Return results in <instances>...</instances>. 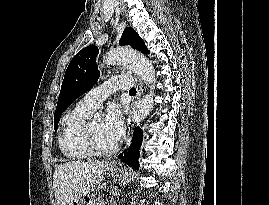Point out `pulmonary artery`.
Listing matches in <instances>:
<instances>
[{"label":"pulmonary artery","instance_id":"obj_1","mask_svg":"<svg viewBox=\"0 0 269 205\" xmlns=\"http://www.w3.org/2000/svg\"><path fill=\"white\" fill-rule=\"evenodd\" d=\"M134 85V79L130 75L113 77L105 81L102 85L89 91L79 102L78 105L88 111L93 112L108 98L116 89H130Z\"/></svg>","mask_w":269,"mask_h":205}]
</instances>
